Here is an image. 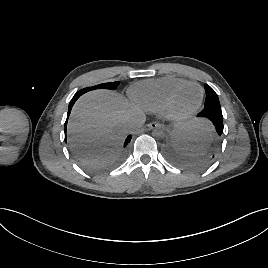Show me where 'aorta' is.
Segmentation results:
<instances>
[{
	"label": "aorta",
	"instance_id": "1",
	"mask_svg": "<svg viewBox=\"0 0 268 268\" xmlns=\"http://www.w3.org/2000/svg\"><path fill=\"white\" fill-rule=\"evenodd\" d=\"M152 136L156 139H162L165 136V131L162 128H156L152 131Z\"/></svg>",
	"mask_w": 268,
	"mask_h": 268
}]
</instances>
